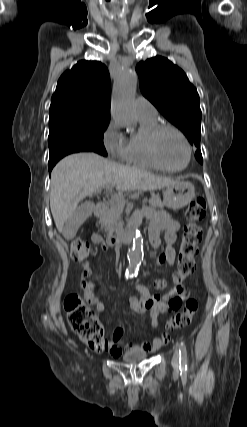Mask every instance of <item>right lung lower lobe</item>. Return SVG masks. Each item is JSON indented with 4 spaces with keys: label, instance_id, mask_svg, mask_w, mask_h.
Returning <instances> with one entry per match:
<instances>
[{
    "label": "right lung lower lobe",
    "instance_id": "1",
    "mask_svg": "<svg viewBox=\"0 0 247 427\" xmlns=\"http://www.w3.org/2000/svg\"><path fill=\"white\" fill-rule=\"evenodd\" d=\"M82 151H89V150L77 145L58 146L51 149L50 156H49V163H48L49 173H51L52 168L61 158H63L68 154L82 152Z\"/></svg>",
    "mask_w": 247,
    "mask_h": 427
}]
</instances>
